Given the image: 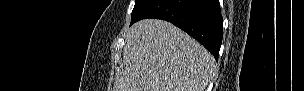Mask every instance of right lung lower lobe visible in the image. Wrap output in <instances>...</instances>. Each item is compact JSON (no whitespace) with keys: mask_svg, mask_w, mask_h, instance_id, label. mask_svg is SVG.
<instances>
[{"mask_svg":"<svg viewBox=\"0 0 304 91\" xmlns=\"http://www.w3.org/2000/svg\"><path fill=\"white\" fill-rule=\"evenodd\" d=\"M145 18L171 22L199 41L218 60L223 36L219 0H150L131 25Z\"/></svg>","mask_w":304,"mask_h":91,"instance_id":"98d812e1","label":"right lung lower lobe"}]
</instances>
